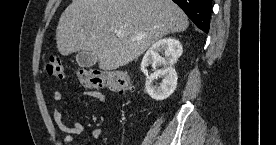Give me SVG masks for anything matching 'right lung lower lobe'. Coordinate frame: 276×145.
<instances>
[{
    "instance_id": "98d812e1",
    "label": "right lung lower lobe",
    "mask_w": 276,
    "mask_h": 145,
    "mask_svg": "<svg viewBox=\"0 0 276 145\" xmlns=\"http://www.w3.org/2000/svg\"><path fill=\"white\" fill-rule=\"evenodd\" d=\"M178 4L195 25L208 33L212 0H173Z\"/></svg>"
}]
</instances>
